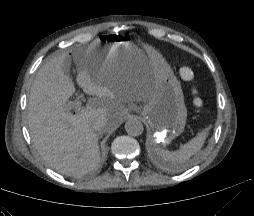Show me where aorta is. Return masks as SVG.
I'll list each match as a JSON object with an SVG mask.
<instances>
[{"instance_id": "aorta-1", "label": "aorta", "mask_w": 254, "mask_h": 216, "mask_svg": "<svg viewBox=\"0 0 254 216\" xmlns=\"http://www.w3.org/2000/svg\"><path fill=\"white\" fill-rule=\"evenodd\" d=\"M125 130L130 136H140L144 131L142 122L138 119L131 118L125 123Z\"/></svg>"}]
</instances>
